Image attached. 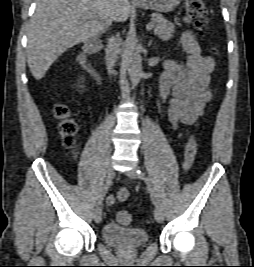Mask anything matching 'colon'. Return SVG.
Masks as SVG:
<instances>
[{
	"label": "colon",
	"mask_w": 254,
	"mask_h": 267,
	"mask_svg": "<svg viewBox=\"0 0 254 267\" xmlns=\"http://www.w3.org/2000/svg\"><path fill=\"white\" fill-rule=\"evenodd\" d=\"M186 12L195 20V27L199 33H203L208 25L207 7L204 0H186ZM53 113L59 121V131L63 138L65 147L72 148L75 145L77 124L71 117L69 107L64 103L54 106ZM198 152V144L195 135H191L187 141L184 151V168L190 169L195 161ZM117 220L122 225H130L132 216L128 211H121L117 214Z\"/></svg>",
	"instance_id": "colon-1"
}]
</instances>
